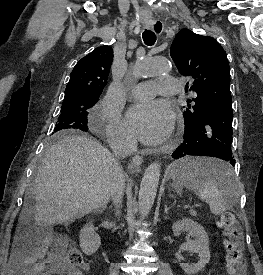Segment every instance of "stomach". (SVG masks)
Returning <instances> with one entry per match:
<instances>
[{"label": "stomach", "mask_w": 263, "mask_h": 275, "mask_svg": "<svg viewBox=\"0 0 263 275\" xmlns=\"http://www.w3.org/2000/svg\"><path fill=\"white\" fill-rule=\"evenodd\" d=\"M176 191H177V192H180V191H181V189H180V188H176Z\"/></svg>", "instance_id": "stomach-1"}]
</instances>
